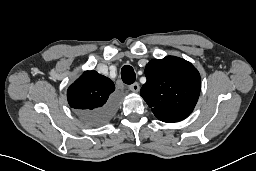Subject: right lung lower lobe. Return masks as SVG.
Returning <instances> with one entry per match:
<instances>
[{
    "instance_id": "right-lung-lower-lobe-1",
    "label": "right lung lower lobe",
    "mask_w": 256,
    "mask_h": 171,
    "mask_svg": "<svg viewBox=\"0 0 256 171\" xmlns=\"http://www.w3.org/2000/svg\"><path fill=\"white\" fill-rule=\"evenodd\" d=\"M116 110V102L111 99L104 107L84 115V120L91 125H100L109 121Z\"/></svg>"
}]
</instances>
